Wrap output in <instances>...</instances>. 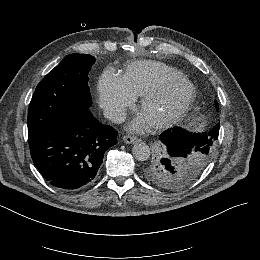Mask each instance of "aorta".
I'll use <instances>...</instances> for the list:
<instances>
[{"label":"aorta","instance_id":"obj_1","mask_svg":"<svg viewBox=\"0 0 260 260\" xmlns=\"http://www.w3.org/2000/svg\"><path fill=\"white\" fill-rule=\"evenodd\" d=\"M133 156L138 161H145L150 156V148L146 143H137L132 148Z\"/></svg>","mask_w":260,"mask_h":260}]
</instances>
